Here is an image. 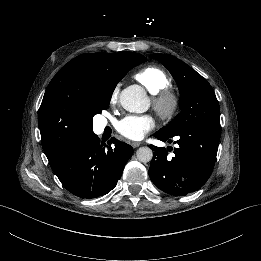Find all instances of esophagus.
Returning <instances> with one entry per match:
<instances>
[{"mask_svg": "<svg viewBox=\"0 0 261 261\" xmlns=\"http://www.w3.org/2000/svg\"><path fill=\"white\" fill-rule=\"evenodd\" d=\"M131 145L133 148H137L141 145V142H132Z\"/></svg>", "mask_w": 261, "mask_h": 261, "instance_id": "esophagus-1", "label": "esophagus"}]
</instances>
